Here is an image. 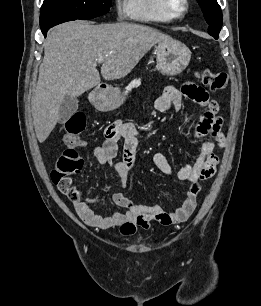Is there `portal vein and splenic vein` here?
I'll use <instances>...</instances> for the list:
<instances>
[{"instance_id": "obj_1", "label": "portal vein and splenic vein", "mask_w": 261, "mask_h": 306, "mask_svg": "<svg viewBox=\"0 0 261 306\" xmlns=\"http://www.w3.org/2000/svg\"><path fill=\"white\" fill-rule=\"evenodd\" d=\"M97 62L100 64V63H103L104 62V58L103 57H99L98 59H97Z\"/></svg>"}]
</instances>
